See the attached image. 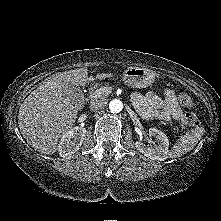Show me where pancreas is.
Instances as JSON below:
<instances>
[{"label":"pancreas","instance_id":"obj_1","mask_svg":"<svg viewBox=\"0 0 221 221\" xmlns=\"http://www.w3.org/2000/svg\"><path fill=\"white\" fill-rule=\"evenodd\" d=\"M106 88L109 89V88H111V87H108V85H107ZM97 89H99V88H98L97 86H94V87L92 88L91 92L89 93V98H90L91 100H96L97 98H103V97L109 95V93H106V94L102 95L101 97H96L95 91H96Z\"/></svg>","mask_w":221,"mask_h":221}]
</instances>
